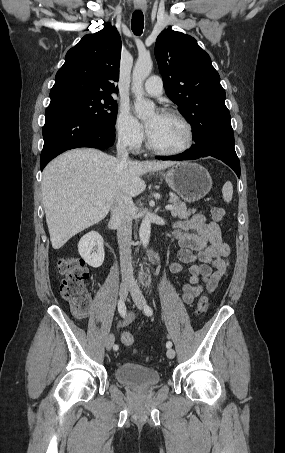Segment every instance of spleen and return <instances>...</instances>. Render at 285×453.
Here are the masks:
<instances>
[{"label":"spleen","instance_id":"3e777b00","mask_svg":"<svg viewBox=\"0 0 285 453\" xmlns=\"http://www.w3.org/2000/svg\"><path fill=\"white\" fill-rule=\"evenodd\" d=\"M223 199L225 202L229 203L232 200L233 196V186L230 181H227L222 188Z\"/></svg>","mask_w":285,"mask_h":453}]
</instances>
